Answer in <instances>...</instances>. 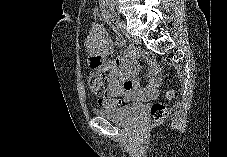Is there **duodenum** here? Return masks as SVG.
<instances>
[{
	"mask_svg": "<svg viewBox=\"0 0 227 157\" xmlns=\"http://www.w3.org/2000/svg\"><path fill=\"white\" fill-rule=\"evenodd\" d=\"M109 18V22L111 23V22H114V23H116L117 22V20H118V18H117V16H116V14L115 13H111L110 14V16L108 17Z\"/></svg>",
	"mask_w": 227,
	"mask_h": 157,
	"instance_id": "duodenum-1",
	"label": "duodenum"
}]
</instances>
